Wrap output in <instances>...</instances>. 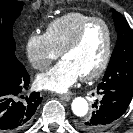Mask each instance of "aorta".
I'll return each instance as SVG.
<instances>
[{
	"label": "aorta",
	"instance_id": "aorta-1",
	"mask_svg": "<svg viewBox=\"0 0 133 133\" xmlns=\"http://www.w3.org/2000/svg\"><path fill=\"white\" fill-rule=\"evenodd\" d=\"M72 111L77 117H84L88 113V102L83 97H77L72 102Z\"/></svg>",
	"mask_w": 133,
	"mask_h": 133
}]
</instances>
